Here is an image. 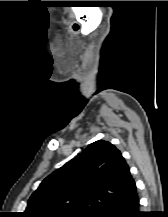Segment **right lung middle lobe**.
<instances>
[{
	"label": "right lung middle lobe",
	"instance_id": "dd1d6c3e",
	"mask_svg": "<svg viewBox=\"0 0 168 217\" xmlns=\"http://www.w3.org/2000/svg\"><path fill=\"white\" fill-rule=\"evenodd\" d=\"M69 217H90V215H77V216H69Z\"/></svg>",
	"mask_w": 168,
	"mask_h": 217
}]
</instances>
